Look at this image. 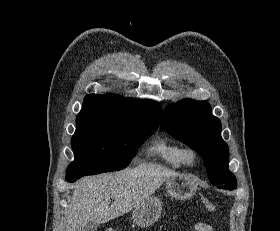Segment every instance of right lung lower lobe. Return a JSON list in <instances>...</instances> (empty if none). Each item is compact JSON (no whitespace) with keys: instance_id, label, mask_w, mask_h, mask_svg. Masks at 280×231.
Masks as SVG:
<instances>
[{"instance_id":"98d812e1","label":"right lung lower lobe","mask_w":280,"mask_h":231,"mask_svg":"<svg viewBox=\"0 0 280 231\" xmlns=\"http://www.w3.org/2000/svg\"><path fill=\"white\" fill-rule=\"evenodd\" d=\"M83 176H84L83 174H66V181L72 183Z\"/></svg>"}]
</instances>
